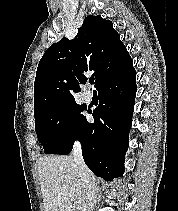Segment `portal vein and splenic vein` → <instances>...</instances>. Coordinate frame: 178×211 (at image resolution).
Returning <instances> with one entry per match:
<instances>
[{"instance_id":"1","label":"portal vein and splenic vein","mask_w":178,"mask_h":211,"mask_svg":"<svg viewBox=\"0 0 178 211\" xmlns=\"http://www.w3.org/2000/svg\"><path fill=\"white\" fill-rule=\"evenodd\" d=\"M71 200H74V195H70Z\"/></svg>"}]
</instances>
